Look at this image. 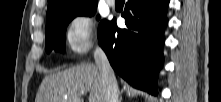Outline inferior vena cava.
<instances>
[{"label":"inferior vena cava","instance_id":"obj_1","mask_svg":"<svg viewBox=\"0 0 221 102\" xmlns=\"http://www.w3.org/2000/svg\"><path fill=\"white\" fill-rule=\"evenodd\" d=\"M93 55L96 66L100 68L102 72L104 84V102H119V90L117 81L105 52L101 47L97 46Z\"/></svg>","mask_w":221,"mask_h":102}]
</instances>
